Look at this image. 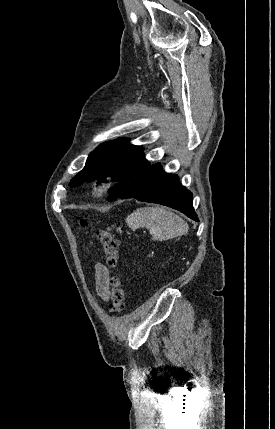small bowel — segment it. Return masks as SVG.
Wrapping results in <instances>:
<instances>
[{
	"label": "small bowel",
	"mask_w": 275,
	"mask_h": 429,
	"mask_svg": "<svg viewBox=\"0 0 275 429\" xmlns=\"http://www.w3.org/2000/svg\"><path fill=\"white\" fill-rule=\"evenodd\" d=\"M94 278L97 294L104 301H108L111 294L109 284L110 273L108 268L101 263L96 264L94 267Z\"/></svg>",
	"instance_id": "1"
}]
</instances>
